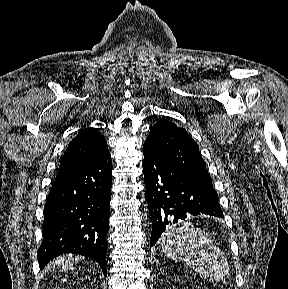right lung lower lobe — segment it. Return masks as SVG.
Masks as SVG:
<instances>
[{
  "label": "right lung lower lobe",
  "instance_id": "obj_1",
  "mask_svg": "<svg viewBox=\"0 0 288 289\" xmlns=\"http://www.w3.org/2000/svg\"><path fill=\"white\" fill-rule=\"evenodd\" d=\"M110 153L98 160L60 168L45 204L40 268L62 253H77L98 262L106 274L112 185Z\"/></svg>",
  "mask_w": 288,
  "mask_h": 289
}]
</instances>
